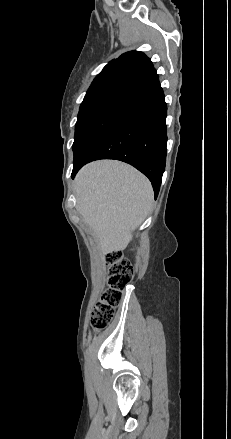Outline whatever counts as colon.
Masks as SVG:
<instances>
[{
  "instance_id": "colon-1",
  "label": "colon",
  "mask_w": 231,
  "mask_h": 439,
  "mask_svg": "<svg viewBox=\"0 0 231 439\" xmlns=\"http://www.w3.org/2000/svg\"><path fill=\"white\" fill-rule=\"evenodd\" d=\"M110 266L108 287L103 292L91 315V326L95 334L100 333L113 319L122 294L133 278V267L122 258L120 251H112L107 255Z\"/></svg>"
}]
</instances>
